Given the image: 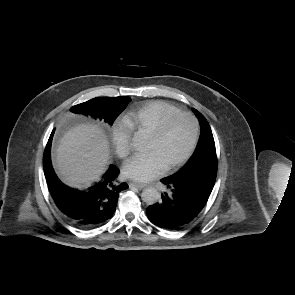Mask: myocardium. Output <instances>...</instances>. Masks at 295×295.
Masks as SVG:
<instances>
[{"instance_id":"myocardium-1","label":"myocardium","mask_w":295,"mask_h":295,"mask_svg":"<svg viewBox=\"0 0 295 295\" xmlns=\"http://www.w3.org/2000/svg\"><path fill=\"white\" fill-rule=\"evenodd\" d=\"M178 116H187L192 120L193 126H194L193 137H192V141L190 143V146H189L188 150L185 152V154L182 157H180L177 161H175L174 163L166 166L164 168L165 172L173 171V170L179 168L180 166H182L194 153L197 143H198V140H199L200 126H199V122H198L197 117L189 111H181V110L171 113V114L167 115L166 117H164L160 121L158 126L150 133V137H152L154 139L160 138L164 134L168 123L172 119H174L175 117H178Z\"/></svg>"}]
</instances>
